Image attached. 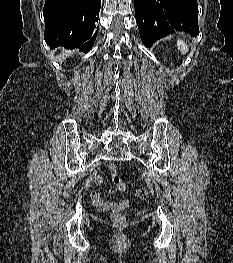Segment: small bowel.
<instances>
[{
  "mask_svg": "<svg viewBox=\"0 0 233 263\" xmlns=\"http://www.w3.org/2000/svg\"><path fill=\"white\" fill-rule=\"evenodd\" d=\"M95 182L97 185H101L103 183V178L101 176L96 177ZM93 200L95 204L102 210L108 211V210H113V211H122L127 208L128 206V201L123 200L120 202H114L110 200L104 199L99 190H95L93 193Z\"/></svg>",
  "mask_w": 233,
  "mask_h": 263,
  "instance_id": "obj_1",
  "label": "small bowel"
}]
</instances>
